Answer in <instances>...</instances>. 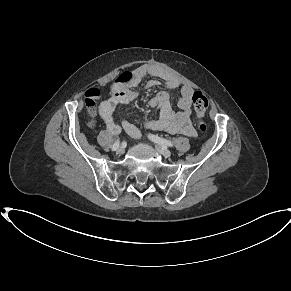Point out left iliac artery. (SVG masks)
Listing matches in <instances>:
<instances>
[{
    "label": "left iliac artery",
    "mask_w": 291,
    "mask_h": 291,
    "mask_svg": "<svg viewBox=\"0 0 291 291\" xmlns=\"http://www.w3.org/2000/svg\"><path fill=\"white\" fill-rule=\"evenodd\" d=\"M149 138H150L153 142H155V143H157V144H159V145H161V146H163V147H174V145H173V143H172L171 141L166 140V139H164V138H161V137H159V136H157V135L149 134Z\"/></svg>",
    "instance_id": "1"
}]
</instances>
